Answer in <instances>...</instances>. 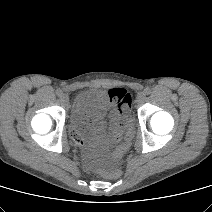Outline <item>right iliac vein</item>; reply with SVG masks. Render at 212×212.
Here are the masks:
<instances>
[{"instance_id": "63e3f726", "label": "right iliac vein", "mask_w": 212, "mask_h": 212, "mask_svg": "<svg viewBox=\"0 0 212 212\" xmlns=\"http://www.w3.org/2000/svg\"><path fill=\"white\" fill-rule=\"evenodd\" d=\"M60 100L62 103L67 104L68 103V96L66 94H62L60 96Z\"/></svg>"}]
</instances>
